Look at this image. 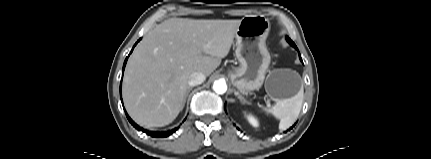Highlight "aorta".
<instances>
[{
  "instance_id": "obj_1",
  "label": "aorta",
  "mask_w": 431,
  "mask_h": 159,
  "mask_svg": "<svg viewBox=\"0 0 431 159\" xmlns=\"http://www.w3.org/2000/svg\"><path fill=\"white\" fill-rule=\"evenodd\" d=\"M213 90L217 94H224L227 91V84L225 80L223 79L216 80L213 84Z\"/></svg>"
}]
</instances>
